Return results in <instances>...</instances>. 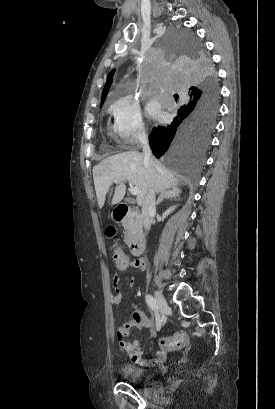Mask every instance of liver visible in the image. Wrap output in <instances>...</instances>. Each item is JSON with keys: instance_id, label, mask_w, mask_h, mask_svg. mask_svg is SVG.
I'll list each match as a JSON object with an SVG mask.
<instances>
[{"instance_id": "obj_1", "label": "liver", "mask_w": 275, "mask_h": 409, "mask_svg": "<svg viewBox=\"0 0 275 409\" xmlns=\"http://www.w3.org/2000/svg\"><path fill=\"white\" fill-rule=\"evenodd\" d=\"M93 180L95 184L96 196L99 209L104 207L106 194L111 188L114 178H118V184L115 188L111 205H116V202L122 200L126 186L124 180H130L135 184L136 188H140L137 194L138 205H143V200L148 192V168L144 162V154L137 150H128L121 154H113L103 158L99 164L93 166ZM155 188L157 192H164L165 188L176 186L179 178H176L169 168H166L160 160L154 158V174H152Z\"/></svg>"}]
</instances>
